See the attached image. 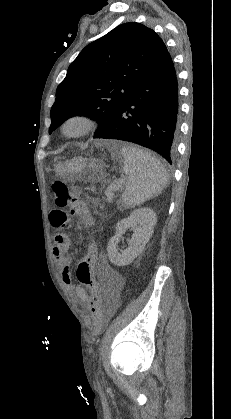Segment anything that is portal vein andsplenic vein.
<instances>
[{
	"instance_id": "1",
	"label": "portal vein and splenic vein",
	"mask_w": 231,
	"mask_h": 419,
	"mask_svg": "<svg viewBox=\"0 0 231 419\" xmlns=\"http://www.w3.org/2000/svg\"><path fill=\"white\" fill-rule=\"evenodd\" d=\"M119 186H120V182H117V180H116L114 184H111L109 186V188L110 189H113V190H118L119 189Z\"/></svg>"
}]
</instances>
